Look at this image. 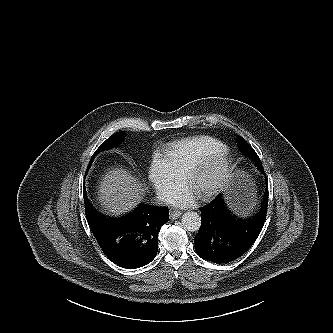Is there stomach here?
<instances>
[{"mask_svg": "<svg viewBox=\"0 0 333 333\" xmlns=\"http://www.w3.org/2000/svg\"><path fill=\"white\" fill-rule=\"evenodd\" d=\"M260 196L258 184L244 171L236 170L227 191V213L235 221H248L256 213Z\"/></svg>", "mask_w": 333, "mask_h": 333, "instance_id": "0dacf381", "label": "stomach"}]
</instances>
